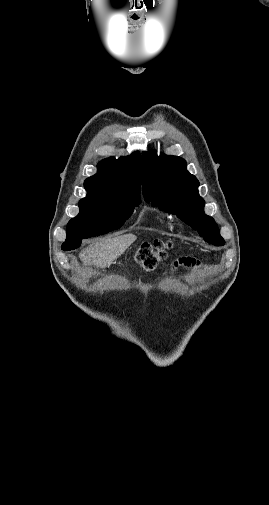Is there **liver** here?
Returning a JSON list of instances; mask_svg holds the SVG:
<instances>
[{
  "mask_svg": "<svg viewBox=\"0 0 269 505\" xmlns=\"http://www.w3.org/2000/svg\"><path fill=\"white\" fill-rule=\"evenodd\" d=\"M137 239L133 234L120 235L90 244L81 251L79 257L85 265L99 268L110 266Z\"/></svg>",
  "mask_w": 269,
  "mask_h": 505,
  "instance_id": "obj_1",
  "label": "liver"
}]
</instances>
